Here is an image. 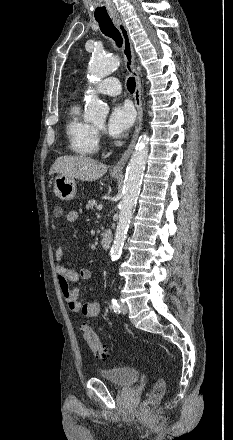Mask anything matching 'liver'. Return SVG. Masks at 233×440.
I'll list each match as a JSON object with an SVG mask.
<instances>
[{"mask_svg": "<svg viewBox=\"0 0 233 440\" xmlns=\"http://www.w3.org/2000/svg\"><path fill=\"white\" fill-rule=\"evenodd\" d=\"M107 165L86 156H63L53 163L49 174L59 173L81 181H95L107 172Z\"/></svg>", "mask_w": 233, "mask_h": 440, "instance_id": "liver-1", "label": "liver"}]
</instances>
